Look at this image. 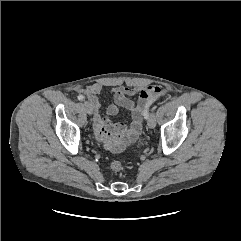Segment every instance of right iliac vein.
Segmentation results:
<instances>
[{
	"mask_svg": "<svg viewBox=\"0 0 241 241\" xmlns=\"http://www.w3.org/2000/svg\"><path fill=\"white\" fill-rule=\"evenodd\" d=\"M84 107L89 115L93 114L94 108L91 102L84 101Z\"/></svg>",
	"mask_w": 241,
	"mask_h": 241,
	"instance_id": "obj_1",
	"label": "right iliac vein"
}]
</instances>
